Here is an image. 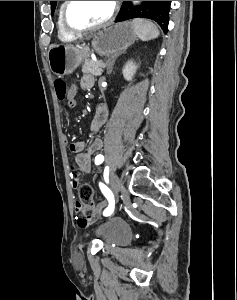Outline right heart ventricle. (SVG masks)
Segmentation results:
<instances>
[{
	"label": "right heart ventricle",
	"instance_id": "right-heart-ventricle-1",
	"mask_svg": "<svg viewBox=\"0 0 237 300\" xmlns=\"http://www.w3.org/2000/svg\"><path fill=\"white\" fill-rule=\"evenodd\" d=\"M65 4V1H63L60 6H59V9H58V35H59V38L61 39H70L72 37L71 34H69L63 27L62 25V21H61V14H62V9H63V6Z\"/></svg>",
	"mask_w": 237,
	"mask_h": 300
}]
</instances>
